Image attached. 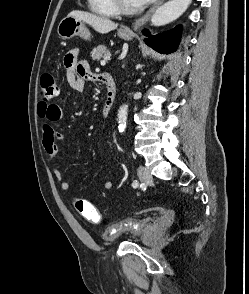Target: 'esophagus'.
Listing matches in <instances>:
<instances>
[{"label":"esophagus","instance_id":"obj_1","mask_svg":"<svg viewBox=\"0 0 249 294\" xmlns=\"http://www.w3.org/2000/svg\"><path fill=\"white\" fill-rule=\"evenodd\" d=\"M164 2V0H157V2L146 12L144 16L136 20L131 26L129 27H123L122 31L127 33H133L138 28H140L142 25H144L149 18L152 16V14L155 12V10L158 8L159 5H161Z\"/></svg>","mask_w":249,"mask_h":294}]
</instances>
